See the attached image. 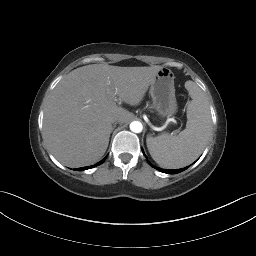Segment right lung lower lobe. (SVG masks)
Instances as JSON below:
<instances>
[{
  "mask_svg": "<svg viewBox=\"0 0 256 256\" xmlns=\"http://www.w3.org/2000/svg\"><path fill=\"white\" fill-rule=\"evenodd\" d=\"M105 159H106V157H105L103 160H101L100 162H98L97 164H95V165H92V166H90V167H82V168H78L77 170H79V171H83V170H86V169H89V168H92V167H96V166H98V165L102 164V163L105 161Z\"/></svg>",
  "mask_w": 256,
  "mask_h": 256,
  "instance_id": "obj_1",
  "label": "right lung lower lobe"
}]
</instances>
